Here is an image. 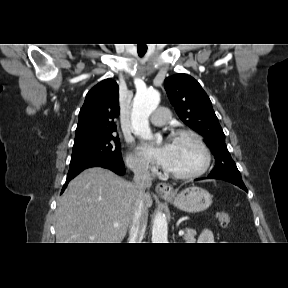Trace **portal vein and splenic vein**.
Wrapping results in <instances>:
<instances>
[{
	"instance_id": "obj_1",
	"label": "portal vein and splenic vein",
	"mask_w": 288,
	"mask_h": 288,
	"mask_svg": "<svg viewBox=\"0 0 288 288\" xmlns=\"http://www.w3.org/2000/svg\"><path fill=\"white\" fill-rule=\"evenodd\" d=\"M114 227H118V224L115 223V224H114ZM183 234H184V231L180 230V231H179V235L182 236Z\"/></svg>"
}]
</instances>
